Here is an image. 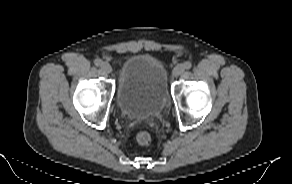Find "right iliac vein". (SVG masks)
Listing matches in <instances>:
<instances>
[{
	"instance_id": "63e3f726",
	"label": "right iliac vein",
	"mask_w": 292,
	"mask_h": 184,
	"mask_svg": "<svg viewBox=\"0 0 292 184\" xmlns=\"http://www.w3.org/2000/svg\"><path fill=\"white\" fill-rule=\"evenodd\" d=\"M101 69L105 72V73H111L112 71V67L109 63L107 62H104L102 65H101Z\"/></svg>"
}]
</instances>
